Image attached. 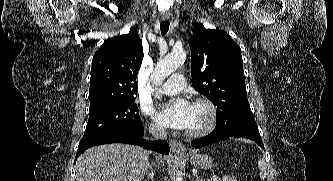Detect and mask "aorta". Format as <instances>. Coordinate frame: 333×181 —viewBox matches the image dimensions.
<instances>
[{
	"label": "aorta",
	"mask_w": 333,
	"mask_h": 181,
	"mask_svg": "<svg viewBox=\"0 0 333 181\" xmlns=\"http://www.w3.org/2000/svg\"><path fill=\"white\" fill-rule=\"evenodd\" d=\"M186 59V53L183 50L174 51L163 59H160L151 75V80L159 86L166 77L173 73ZM156 97L160 98L158 94ZM174 181H183V177L177 175Z\"/></svg>",
	"instance_id": "obj_1"
}]
</instances>
